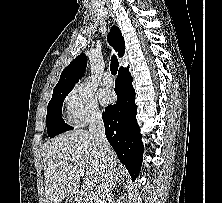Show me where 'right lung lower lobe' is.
Instances as JSON below:
<instances>
[{"label": "right lung lower lobe", "mask_w": 222, "mask_h": 203, "mask_svg": "<svg viewBox=\"0 0 222 203\" xmlns=\"http://www.w3.org/2000/svg\"><path fill=\"white\" fill-rule=\"evenodd\" d=\"M117 102L102 114L106 137L132 180L138 176L142 164L143 144L136 120L135 90L129 68H120L115 83Z\"/></svg>", "instance_id": "right-lung-lower-lobe-1"}]
</instances>
